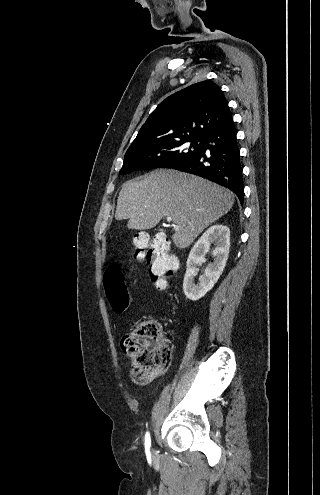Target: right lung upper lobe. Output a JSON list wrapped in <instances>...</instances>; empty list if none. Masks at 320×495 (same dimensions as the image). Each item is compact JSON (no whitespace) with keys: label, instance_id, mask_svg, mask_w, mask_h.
Listing matches in <instances>:
<instances>
[{"label":"right lung upper lobe","instance_id":"1","mask_svg":"<svg viewBox=\"0 0 320 495\" xmlns=\"http://www.w3.org/2000/svg\"><path fill=\"white\" fill-rule=\"evenodd\" d=\"M232 119L228 101L211 80L192 84L163 100L149 115L129 149L185 138H203Z\"/></svg>","mask_w":320,"mask_h":495}]
</instances>
